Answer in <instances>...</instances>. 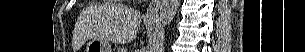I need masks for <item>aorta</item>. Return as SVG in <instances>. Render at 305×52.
<instances>
[{
  "label": "aorta",
  "instance_id": "aorta-1",
  "mask_svg": "<svg viewBox=\"0 0 305 52\" xmlns=\"http://www.w3.org/2000/svg\"><path fill=\"white\" fill-rule=\"evenodd\" d=\"M180 6V0H162L160 4V20L164 26H169L173 21L177 10ZM155 50L157 52H162L163 43L156 42Z\"/></svg>",
  "mask_w": 305,
  "mask_h": 52
}]
</instances>
